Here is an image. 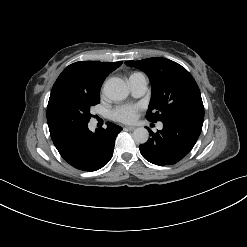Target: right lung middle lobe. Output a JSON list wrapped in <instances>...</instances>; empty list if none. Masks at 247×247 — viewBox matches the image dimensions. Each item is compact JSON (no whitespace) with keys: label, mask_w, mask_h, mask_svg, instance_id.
Wrapping results in <instances>:
<instances>
[{"label":"right lung middle lobe","mask_w":247,"mask_h":247,"mask_svg":"<svg viewBox=\"0 0 247 247\" xmlns=\"http://www.w3.org/2000/svg\"><path fill=\"white\" fill-rule=\"evenodd\" d=\"M100 102L99 93L62 89L49 98L47 123L51 138L70 130L86 127L90 109Z\"/></svg>","instance_id":"right-lung-middle-lobe-1"}]
</instances>
